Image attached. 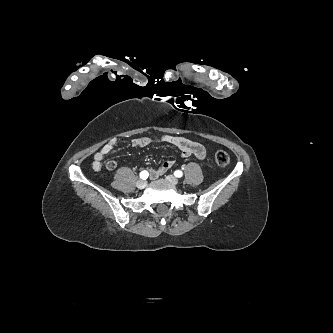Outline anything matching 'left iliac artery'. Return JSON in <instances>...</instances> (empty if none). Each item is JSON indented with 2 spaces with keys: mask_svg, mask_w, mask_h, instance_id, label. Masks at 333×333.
<instances>
[{
  "mask_svg": "<svg viewBox=\"0 0 333 333\" xmlns=\"http://www.w3.org/2000/svg\"><path fill=\"white\" fill-rule=\"evenodd\" d=\"M174 175H175L176 177L180 178V177L183 176V173H182V171H180V170H176V171L174 172Z\"/></svg>",
  "mask_w": 333,
  "mask_h": 333,
  "instance_id": "left-iliac-artery-1",
  "label": "left iliac artery"
}]
</instances>
